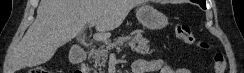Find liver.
Returning <instances> with one entry per match:
<instances>
[{"mask_svg": "<svg viewBox=\"0 0 244 73\" xmlns=\"http://www.w3.org/2000/svg\"><path fill=\"white\" fill-rule=\"evenodd\" d=\"M141 0H41L37 17L17 46L9 73L49 61L56 50L76 37L92 21L103 41L119 27Z\"/></svg>", "mask_w": 244, "mask_h": 73, "instance_id": "obj_1", "label": "liver"}]
</instances>
